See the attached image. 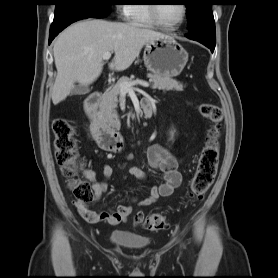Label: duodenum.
<instances>
[{
  "instance_id": "1",
  "label": "duodenum",
  "mask_w": 278,
  "mask_h": 278,
  "mask_svg": "<svg viewBox=\"0 0 278 278\" xmlns=\"http://www.w3.org/2000/svg\"><path fill=\"white\" fill-rule=\"evenodd\" d=\"M100 99L99 92H93L84 101V110L91 123L92 134L99 146L109 151H120L124 146V139L120 132L111 128L100 118L97 106ZM145 117H150L152 108L149 101L142 102Z\"/></svg>"
}]
</instances>
